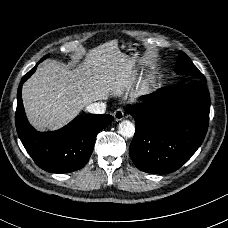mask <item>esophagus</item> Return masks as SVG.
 Returning <instances> with one entry per match:
<instances>
[{
	"instance_id": "1",
	"label": "esophagus",
	"mask_w": 228,
	"mask_h": 228,
	"mask_svg": "<svg viewBox=\"0 0 228 228\" xmlns=\"http://www.w3.org/2000/svg\"><path fill=\"white\" fill-rule=\"evenodd\" d=\"M113 116L115 118V121H120L124 118V111L119 108L115 110V112L113 113Z\"/></svg>"
}]
</instances>
